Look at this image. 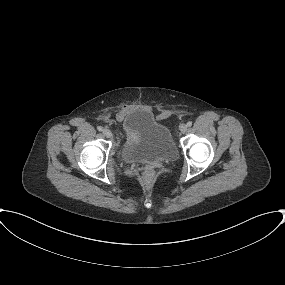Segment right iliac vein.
<instances>
[{
    "label": "right iliac vein",
    "instance_id": "63e3f726",
    "mask_svg": "<svg viewBox=\"0 0 285 285\" xmlns=\"http://www.w3.org/2000/svg\"><path fill=\"white\" fill-rule=\"evenodd\" d=\"M103 134L107 138L112 137V132L109 129H107V128L103 130Z\"/></svg>",
    "mask_w": 285,
    "mask_h": 285
}]
</instances>
